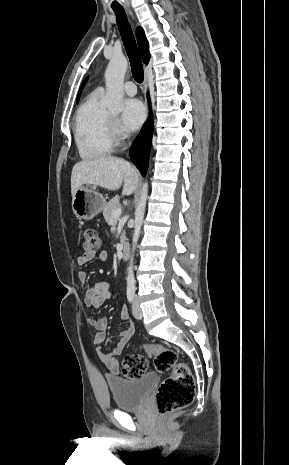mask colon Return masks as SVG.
<instances>
[{"label":"colon","instance_id":"5ec220e1","mask_svg":"<svg viewBox=\"0 0 289 465\" xmlns=\"http://www.w3.org/2000/svg\"><path fill=\"white\" fill-rule=\"evenodd\" d=\"M102 242L94 227L82 230V248L85 252H94L101 248ZM143 349L154 357V366L158 372L171 374L159 385L155 404L160 414H167L187 407L194 399L195 384L189 366L179 361L173 349L153 344H145ZM148 363L144 356L134 353L127 355L121 366L124 377L140 378L147 372Z\"/></svg>","mask_w":289,"mask_h":465}]
</instances>
